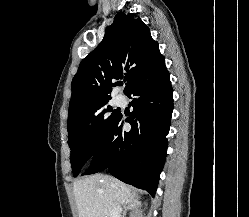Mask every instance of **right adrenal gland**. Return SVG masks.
Here are the masks:
<instances>
[{
    "mask_svg": "<svg viewBox=\"0 0 249 217\" xmlns=\"http://www.w3.org/2000/svg\"><path fill=\"white\" fill-rule=\"evenodd\" d=\"M135 208V204H129L128 206H124V211L122 217H126L128 211L133 210Z\"/></svg>",
    "mask_w": 249,
    "mask_h": 217,
    "instance_id": "right-adrenal-gland-1",
    "label": "right adrenal gland"
}]
</instances>
